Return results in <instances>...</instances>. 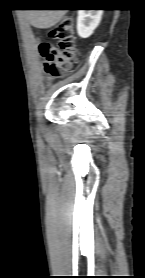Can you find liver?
Returning <instances> with one entry per match:
<instances>
[{"label": "liver", "instance_id": "obj_1", "mask_svg": "<svg viewBox=\"0 0 145 278\" xmlns=\"http://www.w3.org/2000/svg\"><path fill=\"white\" fill-rule=\"evenodd\" d=\"M66 10H25L27 21L40 29L50 28L59 23Z\"/></svg>", "mask_w": 145, "mask_h": 278}]
</instances>
